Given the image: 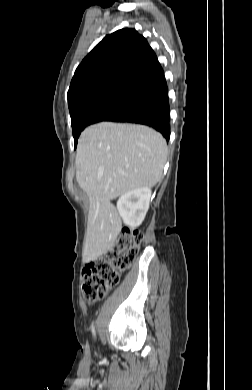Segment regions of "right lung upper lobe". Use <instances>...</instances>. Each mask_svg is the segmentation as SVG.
I'll list each match as a JSON object with an SVG mask.
<instances>
[{"mask_svg": "<svg viewBox=\"0 0 252 390\" xmlns=\"http://www.w3.org/2000/svg\"><path fill=\"white\" fill-rule=\"evenodd\" d=\"M165 81L156 54L135 29L107 35L77 67L68 90L70 112L88 101L137 98Z\"/></svg>", "mask_w": 252, "mask_h": 390, "instance_id": "right-lung-upper-lobe-1", "label": "right lung upper lobe"}]
</instances>
